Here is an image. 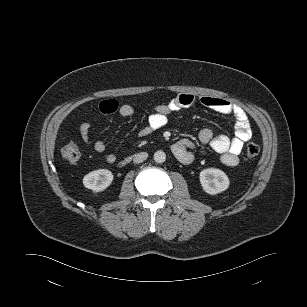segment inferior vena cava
I'll return each mask as SVG.
<instances>
[{"instance_id":"1","label":"inferior vena cava","mask_w":307,"mask_h":307,"mask_svg":"<svg viewBox=\"0 0 307 307\" xmlns=\"http://www.w3.org/2000/svg\"><path fill=\"white\" fill-rule=\"evenodd\" d=\"M147 158H148V153L140 152V153L134 155L133 162L134 163H142Z\"/></svg>"}]
</instances>
